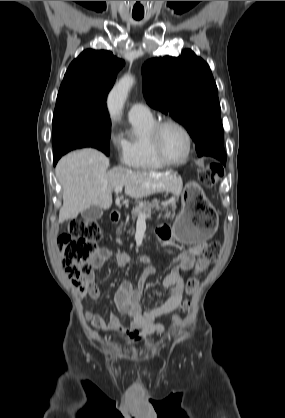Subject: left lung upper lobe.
I'll use <instances>...</instances> for the list:
<instances>
[{
    "label": "left lung upper lobe",
    "instance_id": "left-lung-upper-lobe-1",
    "mask_svg": "<svg viewBox=\"0 0 285 418\" xmlns=\"http://www.w3.org/2000/svg\"><path fill=\"white\" fill-rule=\"evenodd\" d=\"M147 103L181 123L193 138L198 156L224 151L217 86L209 65L190 49L164 56L142 67Z\"/></svg>",
    "mask_w": 285,
    "mask_h": 418
}]
</instances>
